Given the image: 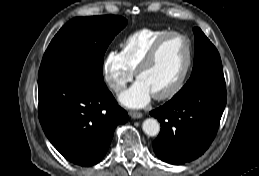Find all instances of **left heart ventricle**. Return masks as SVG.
Instances as JSON below:
<instances>
[{
	"label": "left heart ventricle",
	"instance_id": "b2bd125f",
	"mask_svg": "<svg viewBox=\"0 0 259 176\" xmlns=\"http://www.w3.org/2000/svg\"><path fill=\"white\" fill-rule=\"evenodd\" d=\"M187 56V43L179 36L168 38L155 61L143 71L139 79L153 95L167 90L181 74Z\"/></svg>",
	"mask_w": 259,
	"mask_h": 176
}]
</instances>
